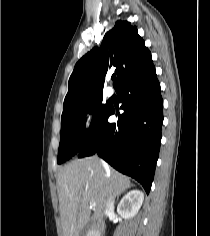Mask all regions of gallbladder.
Returning a JSON list of instances; mask_svg holds the SVG:
<instances>
[{"mask_svg":"<svg viewBox=\"0 0 210 236\" xmlns=\"http://www.w3.org/2000/svg\"><path fill=\"white\" fill-rule=\"evenodd\" d=\"M90 229V223L86 224L80 231L78 236H86V234L88 233Z\"/></svg>","mask_w":210,"mask_h":236,"instance_id":"bac80fb5","label":"gallbladder"}]
</instances>
